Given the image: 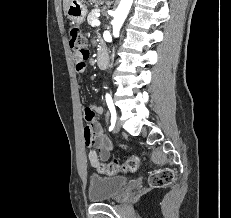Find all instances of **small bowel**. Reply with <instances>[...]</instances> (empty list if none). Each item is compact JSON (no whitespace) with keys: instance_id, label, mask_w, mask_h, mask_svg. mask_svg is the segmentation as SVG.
Wrapping results in <instances>:
<instances>
[{"instance_id":"c3829d8e","label":"small bowel","mask_w":231,"mask_h":218,"mask_svg":"<svg viewBox=\"0 0 231 218\" xmlns=\"http://www.w3.org/2000/svg\"><path fill=\"white\" fill-rule=\"evenodd\" d=\"M73 57L77 71L80 73L84 72L87 63L86 61L88 59L87 56L81 57L80 54L74 53ZM103 111L104 109L101 106H91L86 109L87 120L90 121L94 114H102ZM82 136L85 146L95 148L89 150L87 153V158L93 167L96 168L101 164L100 161L109 159L112 146L103 135L101 128L98 125L91 123L85 126L82 131Z\"/></svg>"}]
</instances>
